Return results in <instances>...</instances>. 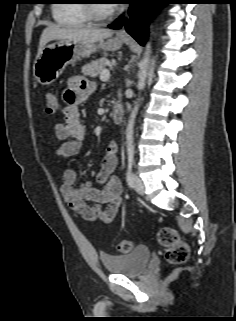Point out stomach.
Instances as JSON below:
<instances>
[{
  "label": "stomach",
  "mask_w": 236,
  "mask_h": 321,
  "mask_svg": "<svg viewBox=\"0 0 236 321\" xmlns=\"http://www.w3.org/2000/svg\"><path fill=\"white\" fill-rule=\"evenodd\" d=\"M123 41L111 38L98 43L81 41H59L44 47L38 52L33 65V75L41 85H50L56 81L71 63L89 57L97 50L116 51Z\"/></svg>",
  "instance_id": "1"
}]
</instances>
